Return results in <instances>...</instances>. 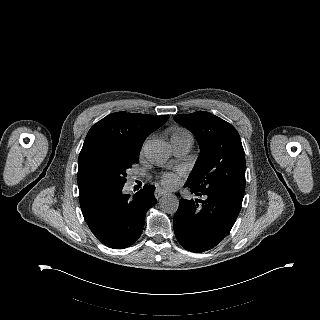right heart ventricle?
<instances>
[{
    "instance_id": "obj_1",
    "label": "right heart ventricle",
    "mask_w": 320,
    "mask_h": 320,
    "mask_svg": "<svg viewBox=\"0 0 320 320\" xmlns=\"http://www.w3.org/2000/svg\"><path fill=\"white\" fill-rule=\"evenodd\" d=\"M170 139H189V140H192V137L187 130H185L183 128H178L173 131Z\"/></svg>"
}]
</instances>
